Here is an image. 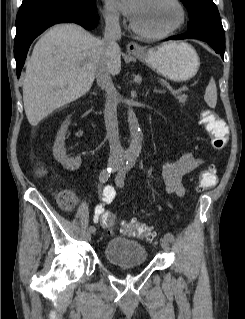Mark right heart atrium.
Segmentation results:
<instances>
[{"mask_svg": "<svg viewBox=\"0 0 245 319\" xmlns=\"http://www.w3.org/2000/svg\"><path fill=\"white\" fill-rule=\"evenodd\" d=\"M104 17L107 24L112 28H117L120 22L119 13L111 6L106 5L104 7Z\"/></svg>", "mask_w": 245, "mask_h": 319, "instance_id": "obj_1", "label": "right heart atrium"}]
</instances>
